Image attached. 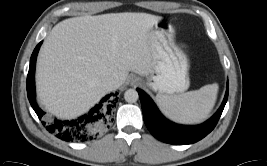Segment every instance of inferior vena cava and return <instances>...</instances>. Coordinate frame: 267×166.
<instances>
[{"label":"inferior vena cava","mask_w":267,"mask_h":166,"mask_svg":"<svg viewBox=\"0 0 267 166\" xmlns=\"http://www.w3.org/2000/svg\"><path fill=\"white\" fill-rule=\"evenodd\" d=\"M120 86V82L118 79L110 78L104 83V87L108 91H112L117 89Z\"/></svg>","instance_id":"inferior-vena-cava-1"}]
</instances>
